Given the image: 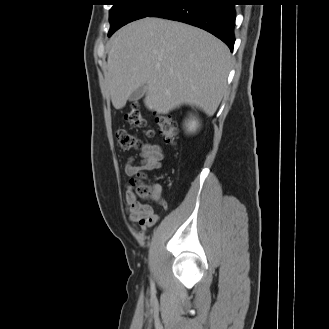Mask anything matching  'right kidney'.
<instances>
[{
	"label": "right kidney",
	"mask_w": 329,
	"mask_h": 329,
	"mask_svg": "<svg viewBox=\"0 0 329 329\" xmlns=\"http://www.w3.org/2000/svg\"><path fill=\"white\" fill-rule=\"evenodd\" d=\"M185 127L188 132H195L197 128L199 127V122L197 119L190 118L187 121H185Z\"/></svg>",
	"instance_id": "ca27d5eb"
}]
</instances>
